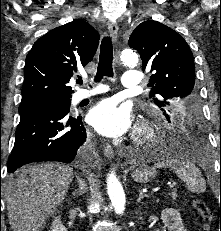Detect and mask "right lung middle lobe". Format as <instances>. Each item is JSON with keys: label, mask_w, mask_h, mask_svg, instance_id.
<instances>
[{"label": "right lung middle lobe", "mask_w": 221, "mask_h": 231, "mask_svg": "<svg viewBox=\"0 0 221 231\" xmlns=\"http://www.w3.org/2000/svg\"><path fill=\"white\" fill-rule=\"evenodd\" d=\"M70 98H29L21 101L19 107V113L28 110L33 107L45 105V104H61L63 106L69 105Z\"/></svg>", "instance_id": "dd1d6c3e"}]
</instances>
